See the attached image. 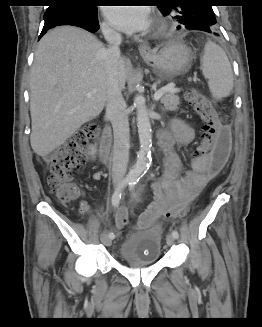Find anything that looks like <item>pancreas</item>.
Segmentation results:
<instances>
[{
    "label": "pancreas",
    "mask_w": 262,
    "mask_h": 327,
    "mask_svg": "<svg viewBox=\"0 0 262 327\" xmlns=\"http://www.w3.org/2000/svg\"><path fill=\"white\" fill-rule=\"evenodd\" d=\"M161 103L163 104V110L175 111L180 103L179 96L176 95L175 91H167L162 96Z\"/></svg>",
    "instance_id": "obj_1"
}]
</instances>
